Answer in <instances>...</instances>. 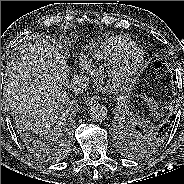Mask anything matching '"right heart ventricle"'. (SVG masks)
Returning <instances> with one entry per match:
<instances>
[{"label":"right heart ventricle","instance_id":"1","mask_svg":"<svg viewBox=\"0 0 184 184\" xmlns=\"http://www.w3.org/2000/svg\"><path fill=\"white\" fill-rule=\"evenodd\" d=\"M131 48H134V44L128 38L114 37L97 46L92 57L98 61H112Z\"/></svg>","mask_w":184,"mask_h":184}]
</instances>
